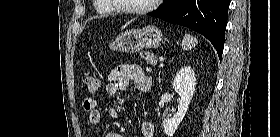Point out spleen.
I'll use <instances>...</instances> for the list:
<instances>
[{
  "label": "spleen",
  "instance_id": "spleen-1",
  "mask_svg": "<svg viewBox=\"0 0 280 137\" xmlns=\"http://www.w3.org/2000/svg\"><path fill=\"white\" fill-rule=\"evenodd\" d=\"M198 41L196 38H194L193 36L189 35V34H185L183 40H182V47L183 50H189L192 49L193 47H195L197 45Z\"/></svg>",
  "mask_w": 280,
  "mask_h": 137
}]
</instances>
